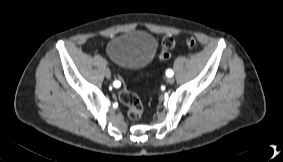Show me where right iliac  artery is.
<instances>
[{
    "instance_id": "82829eb1",
    "label": "right iliac artery",
    "mask_w": 283,
    "mask_h": 162,
    "mask_svg": "<svg viewBox=\"0 0 283 162\" xmlns=\"http://www.w3.org/2000/svg\"><path fill=\"white\" fill-rule=\"evenodd\" d=\"M114 86H119V88H123V83H120V81H115Z\"/></svg>"
}]
</instances>
